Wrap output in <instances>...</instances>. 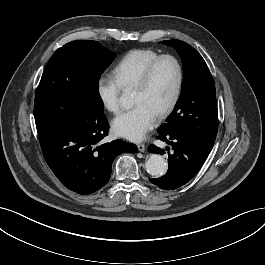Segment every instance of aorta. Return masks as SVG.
Segmentation results:
<instances>
[{
	"instance_id": "obj_1",
	"label": "aorta",
	"mask_w": 265,
	"mask_h": 265,
	"mask_svg": "<svg viewBox=\"0 0 265 265\" xmlns=\"http://www.w3.org/2000/svg\"><path fill=\"white\" fill-rule=\"evenodd\" d=\"M124 100V97H122ZM148 174L154 177H161L167 170L165 159L158 154H152L145 163Z\"/></svg>"
}]
</instances>
